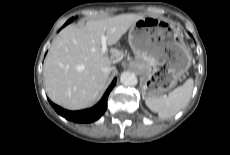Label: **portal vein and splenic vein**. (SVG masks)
<instances>
[{"label": "portal vein and splenic vein", "instance_id": "1", "mask_svg": "<svg viewBox=\"0 0 230 155\" xmlns=\"http://www.w3.org/2000/svg\"><path fill=\"white\" fill-rule=\"evenodd\" d=\"M106 37L102 36L101 37V52L104 54L107 52V43H106Z\"/></svg>", "mask_w": 230, "mask_h": 155}]
</instances>
